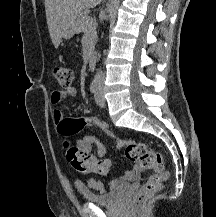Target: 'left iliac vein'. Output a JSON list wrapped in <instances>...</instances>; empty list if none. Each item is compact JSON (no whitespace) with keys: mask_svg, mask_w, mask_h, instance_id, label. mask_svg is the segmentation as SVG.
<instances>
[{"mask_svg":"<svg viewBox=\"0 0 216 217\" xmlns=\"http://www.w3.org/2000/svg\"><path fill=\"white\" fill-rule=\"evenodd\" d=\"M95 101L100 107L105 105L103 87L101 85L98 86L97 92L95 93Z\"/></svg>","mask_w":216,"mask_h":217,"instance_id":"4c4485c4","label":"left iliac vein"}]
</instances>
